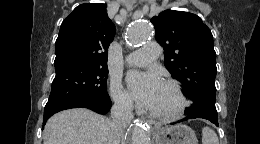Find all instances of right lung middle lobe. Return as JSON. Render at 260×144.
Segmentation results:
<instances>
[{
  "mask_svg": "<svg viewBox=\"0 0 260 144\" xmlns=\"http://www.w3.org/2000/svg\"><path fill=\"white\" fill-rule=\"evenodd\" d=\"M51 93L45 107L70 102H92L108 98V67L65 65L55 68Z\"/></svg>",
  "mask_w": 260,
  "mask_h": 144,
  "instance_id": "dd1d6c3e",
  "label": "right lung middle lobe"
}]
</instances>
